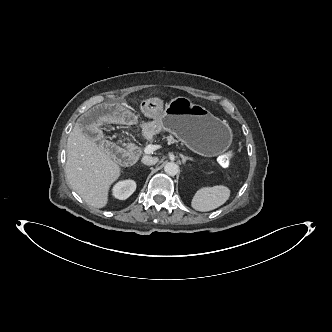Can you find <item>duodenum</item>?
I'll list each match as a JSON object with an SVG mask.
<instances>
[{"mask_svg": "<svg viewBox=\"0 0 332 332\" xmlns=\"http://www.w3.org/2000/svg\"><path fill=\"white\" fill-rule=\"evenodd\" d=\"M118 155L120 160L126 164H130L135 160V155L129 150H122Z\"/></svg>", "mask_w": 332, "mask_h": 332, "instance_id": "duodenum-1", "label": "duodenum"}]
</instances>
